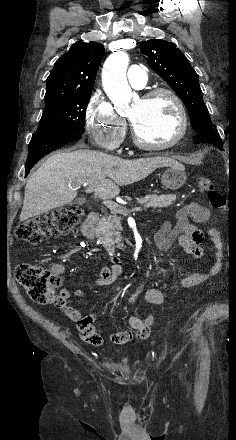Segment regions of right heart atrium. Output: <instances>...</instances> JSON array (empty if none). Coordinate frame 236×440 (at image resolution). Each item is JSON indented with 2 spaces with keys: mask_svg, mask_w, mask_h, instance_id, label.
Here are the masks:
<instances>
[{
  "mask_svg": "<svg viewBox=\"0 0 236 440\" xmlns=\"http://www.w3.org/2000/svg\"><path fill=\"white\" fill-rule=\"evenodd\" d=\"M85 126L100 148L115 151L126 133V123L100 90L90 97L85 108Z\"/></svg>",
  "mask_w": 236,
  "mask_h": 440,
  "instance_id": "obj_1",
  "label": "right heart atrium"
}]
</instances>
